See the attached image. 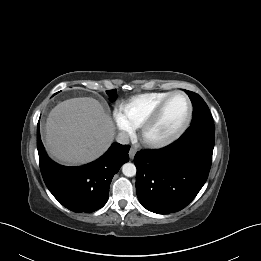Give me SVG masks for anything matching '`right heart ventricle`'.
<instances>
[{"instance_id":"1","label":"right heart ventricle","mask_w":261,"mask_h":261,"mask_svg":"<svg viewBox=\"0 0 261 261\" xmlns=\"http://www.w3.org/2000/svg\"><path fill=\"white\" fill-rule=\"evenodd\" d=\"M170 92H150L133 96L120 105V112L133 129L140 128Z\"/></svg>"}]
</instances>
